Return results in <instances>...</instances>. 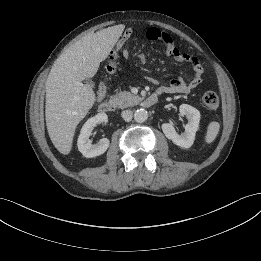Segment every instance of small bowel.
<instances>
[{
	"label": "small bowel",
	"instance_id": "c3829d8e",
	"mask_svg": "<svg viewBox=\"0 0 261 261\" xmlns=\"http://www.w3.org/2000/svg\"><path fill=\"white\" fill-rule=\"evenodd\" d=\"M145 36L153 42H161L166 49L167 56L173 57L177 61H186L193 65V77L190 81H186L182 77H173L167 85L159 86V93H190L202 80L203 69L196 57L189 56L182 52L175 45L169 34L156 27H150L146 30ZM105 96V89L98 91V100Z\"/></svg>",
	"mask_w": 261,
	"mask_h": 261
}]
</instances>
